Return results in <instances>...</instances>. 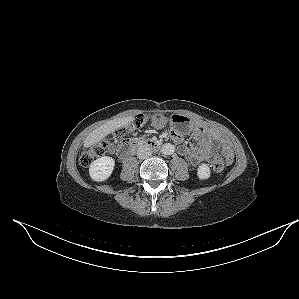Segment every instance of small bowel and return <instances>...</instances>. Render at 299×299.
<instances>
[{"instance_id": "obj_1", "label": "small bowel", "mask_w": 299, "mask_h": 299, "mask_svg": "<svg viewBox=\"0 0 299 299\" xmlns=\"http://www.w3.org/2000/svg\"><path fill=\"white\" fill-rule=\"evenodd\" d=\"M195 132L201 135V142L199 147L180 145L178 147L179 154L188 158L190 163L194 166L200 163H213L217 157V152H221L225 158V162L230 164L233 161L234 154L229 142L222 137V135L214 129H202L194 126ZM171 138L180 143L181 135L174 129L170 132Z\"/></svg>"}]
</instances>
